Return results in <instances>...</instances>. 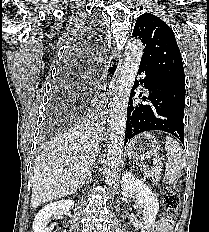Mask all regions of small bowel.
Instances as JSON below:
<instances>
[{
    "mask_svg": "<svg viewBox=\"0 0 209 232\" xmlns=\"http://www.w3.org/2000/svg\"><path fill=\"white\" fill-rule=\"evenodd\" d=\"M148 232H170V226L167 222L158 220Z\"/></svg>",
    "mask_w": 209,
    "mask_h": 232,
    "instance_id": "obj_1",
    "label": "small bowel"
}]
</instances>
